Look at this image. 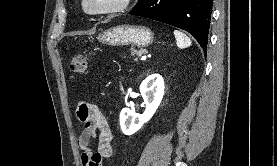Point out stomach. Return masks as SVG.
I'll return each mask as SVG.
<instances>
[{
  "instance_id": "obj_1",
  "label": "stomach",
  "mask_w": 277,
  "mask_h": 166,
  "mask_svg": "<svg viewBox=\"0 0 277 166\" xmlns=\"http://www.w3.org/2000/svg\"><path fill=\"white\" fill-rule=\"evenodd\" d=\"M98 40L111 46L132 44L146 47L153 43L154 34L144 26L118 25L102 32L98 36Z\"/></svg>"
}]
</instances>
